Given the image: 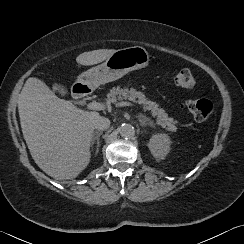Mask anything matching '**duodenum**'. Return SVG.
I'll return each mask as SVG.
<instances>
[{
	"mask_svg": "<svg viewBox=\"0 0 244 244\" xmlns=\"http://www.w3.org/2000/svg\"><path fill=\"white\" fill-rule=\"evenodd\" d=\"M74 95L77 99H85L87 96L88 90L86 89V86L82 84H77L73 88Z\"/></svg>",
	"mask_w": 244,
	"mask_h": 244,
	"instance_id": "1",
	"label": "duodenum"
}]
</instances>
